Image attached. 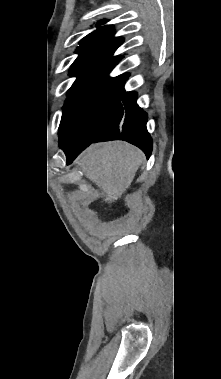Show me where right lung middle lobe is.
<instances>
[{
	"instance_id": "dd1d6c3e",
	"label": "right lung middle lobe",
	"mask_w": 221,
	"mask_h": 379,
	"mask_svg": "<svg viewBox=\"0 0 221 379\" xmlns=\"http://www.w3.org/2000/svg\"><path fill=\"white\" fill-rule=\"evenodd\" d=\"M97 81L71 89L63 109L59 138L65 143L91 140L113 116L123 82Z\"/></svg>"
}]
</instances>
